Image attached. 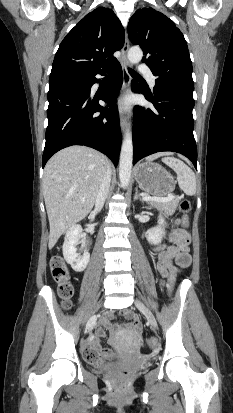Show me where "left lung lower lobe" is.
<instances>
[{"instance_id": "1", "label": "left lung lower lobe", "mask_w": 233, "mask_h": 413, "mask_svg": "<svg viewBox=\"0 0 233 413\" xmlns=\"http://www.w3.org/2000/svg\"><path fill=\"white\" fill-rule=\"evenodd\" d=\"M136 92L154 104L155 109L135 106L133 124V164L150 154L173 151L191 160L197 169V147L193 136V93L156 80L154 96L133 82Z\"/></svg>"}]
</instances>
